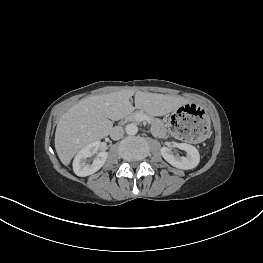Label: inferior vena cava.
I'll use <instances>...</instances> for the list:
<instances>
[{
  "instance_id": "1",
  "label": "inferior vena cava",
  "mask_w": 263,
  "mask_h": 263,
  "mask_svg": "<svg viewBox=\"0 0 263 263\" xmlns=\"http://www.w3.org/2000/svg\"><path fill=\"white\" fill-rule=\"evenodd\" d=\"M124 130L121 126H115L110 132V137L113 140H119L123 137Z\"/></svg>"
}]
</instances>
